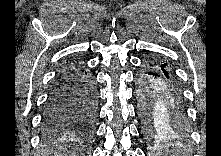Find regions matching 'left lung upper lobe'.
Wrapping results in <instances>:
<instances>
[{
	"label": "left lung upper lobe",
	"mask_w": 221,
	"mask_h": 156,
	"mask_svg": "<svg viewBox=\"0 0 221 156\" xmlns=\"http://www.w3.org/2000/svg\"><path fill=\"white\" fill-rule=\"evenodd\" d=\"M149 62L155 63L159 66H162L163 68L170 70V66L167 63H164L160 59H149Z\"/></svg>",
	"instance_id": "obj_1"
}]
</instances>
